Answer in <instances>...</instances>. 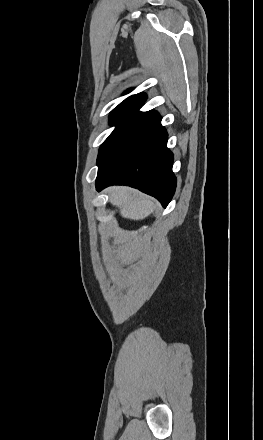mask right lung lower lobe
Instances as JSON below:
<instances>
[{"mask_svg":"<svg viewBox=\"0 0 263 440\" xmlns=\"http://www.w3.org/2000/svg\"><path fill=\"white\" fill-rule=\"evenodd\" d=\"M167 139L168 134L159 116L109 175L96 179V189L101 191L110 185H128L154 196L166 207L176 188L172 172L174 158L167 148Z\"/></svg>","mask_w":263,"mask_h":440,"instance_id":"right-lung-lower-lobe-1","label":"right lung lower lobe"}]
</instances>
